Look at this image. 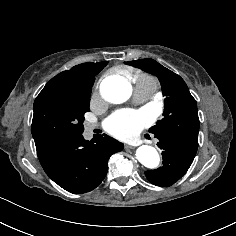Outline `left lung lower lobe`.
<instances>
[{
	"label": "left lung lower lobe",
	"instance_id": "obj_1",
	"mask_svg": "<svg viewBox=\"0 0 236 236\" xmlns=\"http://www.w3.org/2000/svg\"><path fill=\"white\" fill-rule=\"evenodd\" d=\"M158 147L163 150V166L145 172L154 185L168 187L178 181L189 169L196 155L198 140L164 134L157 138Z\"/></svg>",
	"mask_w": 236,
	"mask_h": 236
}]
</instances>
